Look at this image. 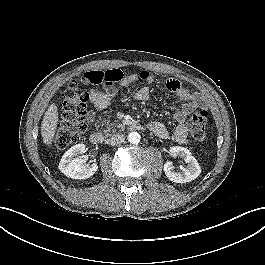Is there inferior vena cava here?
Instances as JSON below:
<instances>
[{
  "label": "inferior vena cava",
  "mask_w": 265,
  "mask_h": 265,
  "mask_svg": "<svg viewBox=\"0 0 265 265\" xmlns=\"http://www.w3.org/2000/svg\"><path fill=\"white\" fill-rule=\"evenodd\" d=\"M124 140H125V135L124 134L117 133V134L112 135L108 139V143L110 145H113L114 146V145H117V144H120V143L124 142Z\"/></svg>",
  "instance_id": "inferior-vena-cava-1"
}]
</instances>
